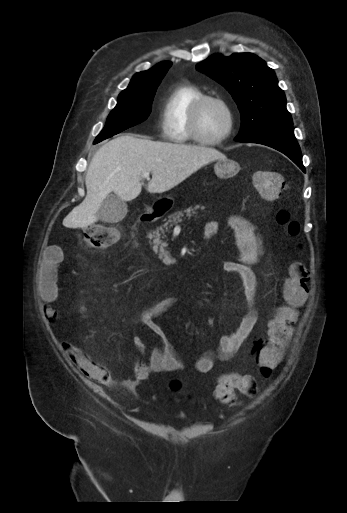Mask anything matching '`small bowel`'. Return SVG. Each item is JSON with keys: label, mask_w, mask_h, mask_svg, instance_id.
<instances>
[{"label": "small bowel", "mask_w": 347, "mask_h": 513, "mask_svg": "<svg viewBox=\"0 0 347 513\" xmlns=\"http://www.w3.org/2000/svg\"><path fill=\"white\" fill-rule=\"evenodd\" d=\"M228 224L235 237L245 245L243 250L244 261L241 263L226 262L224 269L239 279L246 293L247 309L236 328L232 332L221 336L216 350H206L197 356L194 367L199 373L210 372L217 360L228 361L243 350L258 321V313L255 308L257 278L253 271V266L259 263L263 254L262 238L257 232L256 225L242 216H230ZM218 231V222L211 220L205 223L204 232L207 238L215 236ZM60 262V250L55 247L50 250L47 257L43 260L37 276V289L46 303L45 315L50 321L58 316V310L52 304L59 299L57 269ZM179 302L180 299L178 297H168L154 304L140 315L139 320L159 337L161 345L151 350L148 363L140 359L130 361L133 378L124 382L126 387H136L150 372H178L183 370V362L179 359L165 330L156 320ZM76 308L79 312L83 313L87 310V306L83 302H79ZM255 344L248 345V348H257L258 343ZM133 345L139 353H144L146 350V345L140 336L133 338ZM65 349L85 375L96 381H101L104 378L101 364L85 358L76 348L70 345L66 344Z\"/></svg>", "instance_id": "obj_1"}]
</instances>
